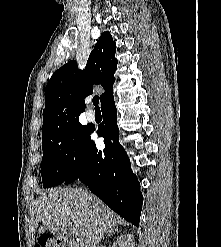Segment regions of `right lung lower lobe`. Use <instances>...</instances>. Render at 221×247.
Masks as SVG:
<instances>
[{"label":"right lung lower lobe","instance_id":"obj_1","mask_svg":"<svg viewBox=\"0 0 221 247\" xmlns=\"http://www.w3.org/2000/svg\"><path fill=\"white\" fill-rule=\"evenodd\" d=\"M101 110L103 122L98 127V134L104 138L105 149L98 150L90 138L84 157L64 183L79 179L113 211L126 221L139 226L143 196L140 183L131 170L129 158L118 142L114 99L105 102ZM90 132H93L92 128Z\"/></svg>","mask_w":221,"mask_h":247}]
</instances>
